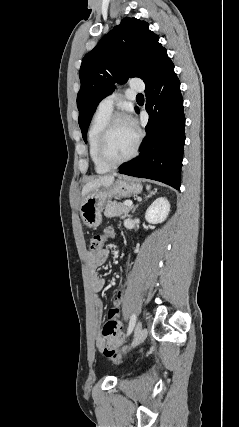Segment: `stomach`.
<instances>
[{
    "mask_svg": "<svg viewBox=\"0 0 239 427\" xmlns=\"http://www.w3.org/2000/svg\"><path fill=\"white\" fill-rule=\"evenodd\" d=\"M142 191L137 180L130 177H121L111 186L96 189L87 194L80 205V215L90 228L98 227L102 222V209L113 197H130Z\"/></svg>",
    "mask_w": 239,
    "mask_h": 427,
    "instance_id": "obj_1",
    "label": "stomach"
}]
</instances>
